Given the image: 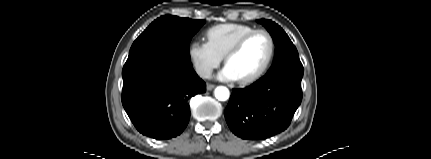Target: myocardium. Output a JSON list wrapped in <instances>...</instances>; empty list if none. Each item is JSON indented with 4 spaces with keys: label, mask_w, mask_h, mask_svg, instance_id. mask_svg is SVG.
<instances>
[{
    "label": "myocardium",
    "mask_w": 431,
    "mask_h": 159,
    "mask_svg": "<svg viewBox=\"0 0 431 159\" xmlns=\"http://www.w3.org/2000/svg\"><path fill=\"white\" fill-rule=\"evenodd\" d=\"M258 33H262L265 34L269 40L270 43V50H269V54L268 57L266 59V61L264 62V64L260 67V69H258L255 73L245 77V78H241L238 79V82L240 84H249L252 83L256 80H258L259 78H261L270 68L274 56H275V51H276V44H275V40L274 37L272 36V34L265 29H254L248 33H246L245 35H243L225 54L224 56V62L225 64H227V62L234 57L235 55H237L245 46V44L247 43V41L254 35L258 34Z\"/></svg>",
    "instance_id": "myocardium-1"
}]
</instances>
